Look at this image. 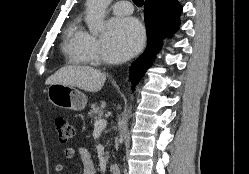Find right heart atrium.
Returning <instances> with one entry per match:
<instances>
[{
  "label": "right heart atrium",
  "mask_w": 249,
  "mask_h": 174,
  "mask_svg": "<svg viewBox=\"0 0 249 174\" xmlns=\"http://www.w3.org/2000/svg\"><path fill=\"white\" fill-rule=\"evenodd\" d=\"M83 49L87 57L92 62H97L101 57V47L99 41L91 34L86 33L83 42Z\"/></svg>",
  "instance_id": "1"
}]
</instances>
